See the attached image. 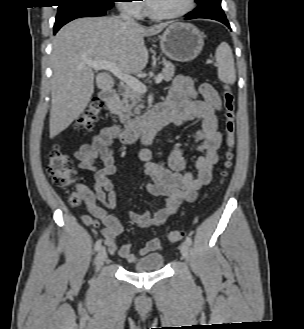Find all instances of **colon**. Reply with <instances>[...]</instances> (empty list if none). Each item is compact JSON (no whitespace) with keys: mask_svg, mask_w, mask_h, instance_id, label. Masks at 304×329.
Segmentation results:
<instances>
[{"mask_svg":"<svg viewBox=\"0 0 304 329\" xmlns=\"http://www.w3.org/2000/svg\"><path fill=\"white\" fill-rule=\"evenodd\" d=\"M223 107H224V129H225V152L223 159V170L221 171V182L228 175L232 165L234 148L236 145L235 135V96L228 85L223 86ZM102 104L98 99H92L82 113L78 126L82 132L88 131L98 120ZM47 173L53 183L59 188L71 186L76 179L77 173L70 157L63 153L59 147H54L49 154ZM82 195L79 191L72 192L68 201L72 207H77L82 202ZM183 237L180 230H170L167 238L170 242H179Z\"/></svg>","mask_w":304,"mask_h":329,"instance_id":"1","label":"colon"}]
</instances>
